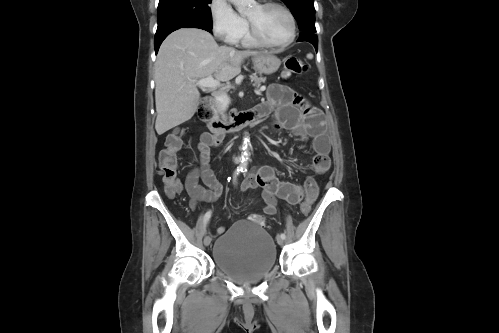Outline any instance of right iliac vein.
<instances>
[{
    "label": "right iliac vein",
    "instance_id": "63e3f726",
    "mask_svg": "<svg viewBox=\"0 0 499 333\" xmlns=\"http://www.w3.org/2000/svg\"><path fill=\"white\" fill-rule=\"evenodd\" d=\"M211 243V237L209 235H206L204 238V245L209 246Z\"/></svg>",
    "mask_w": 499,
    "mask_h": 333
}]
</instances>
